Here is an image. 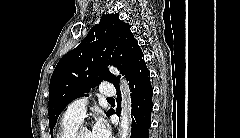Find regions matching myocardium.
Masks as SVG:
<instances>
[{
  "label": "myocardium",
  "mask_w": 240,
  "mask_h": 138,
  "mask_svg": "<svg viewBox=\"0 0 240 138\" xmlns=\"http://www.w3.org/2000/svg\"><path fill=\"white\" fill-rule=\"evenodd\" d=\"M87 129L85 126H79L73 133L72 138H80L83 130Z\"/></svg>",
  "instance_id": "1"
}]
</instances>
